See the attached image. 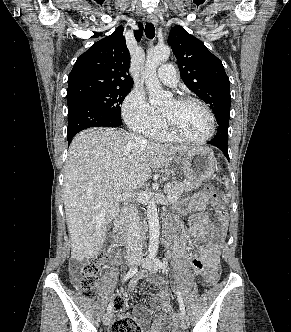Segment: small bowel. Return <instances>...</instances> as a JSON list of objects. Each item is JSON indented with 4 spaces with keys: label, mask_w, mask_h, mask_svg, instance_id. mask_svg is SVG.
Listing matches in <instances>:
<instances>
[{
    "label": "small bowel",
    "mask_w": 291,
    "mask_h": 332,
    "mask_svg": "<svg viewBox=\"0 0 291 332\" xmlns=\"http://www.w3.org/2000/svg\"><path fill=\"white\" fill-rule=\"evenodd\" d=\"M174 233L175 243L168 252L169 257L181 258L190 262L194 270L202 275L206 273L208 268L218 264L220 245L225 237V229L215 227L206 214L199 215L188 229L182 225L174 226ZM190 239H195L198 242V253L189 252L188 242ZM144 275L141 272L137 278H142ZM135 282L133 281L132 286ZM159 291V294L153 296L150 302V308L156 315V321L145 332H166L172 326V318L168 315L172 308L168 294L162 285H159ZM158 303H160V307ZM134 314L141 326L149 323L151 313L147 307L136 306Z\"/></svg>",
    "instance_id": "1"
}]
</instances>
